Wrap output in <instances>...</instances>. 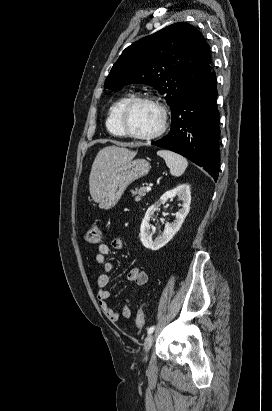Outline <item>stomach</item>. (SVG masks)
Returning <instances> with one entry per match:
<instances>
[{
    "label": "stomach",
    "mask_w": 272,
    "mask_h": 411,
    "mask_svg": "<svg viewBox=\"0 0 272 411\" xmlns=\"http://www.w3.org/2000/svg\"><path fill=\"white\" fill-rule=\"evenodd\" d=\"M151 166L145 159H130L118 166L109 176L99 198V207L104 210L113 208L126 188L135 180L148 174Z\"/></svg>",
    "instance_id": "stomach-1"
}]
</instances>
